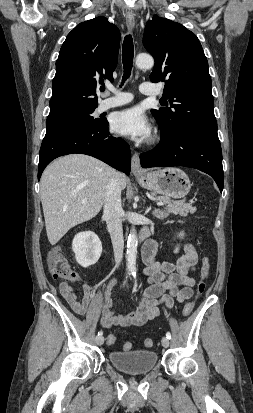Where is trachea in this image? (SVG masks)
I'll list each match as a JSON object with an SVG mask.
<instances>
[{"instance_id": "3493384b", "label": "trachea", "mask_w": 253, "mask_h": 413, "mask_svg": "<svg viewBox=\"0 0 253 413\" xmlns=\"http://www.w3.org/2000/svg\"><path fill=\"white\" fill-rule=\"evenodd\" d=\"M133 57H134L133 39H132L131 35H127L124 38L123 47H122V61H123V68H124V75H123V79H122L123 83L131 75Z\"/></svg>"}]
</instances>
